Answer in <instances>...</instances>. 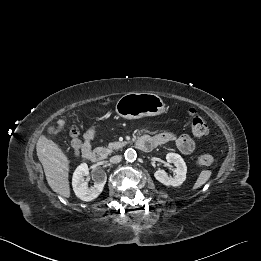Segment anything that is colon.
I'll use <instances>...</instances> for the list:
<instances>
[{"label": "colon", "instance_id": "1", "mask_svg": "<svg viewBox=\"0 0 261 261\" xmlns=\"http://www.w3.org/2000/svg\"><path fill=\"white\" fill-rule=\"evenodd\" d=\"M191 117V130L196 138H202L208 133V124L206 120L197 114L194 110L190 112ZM65 126V122L61 121L55 128L54 133L60 132ZM78 128L76 126L72 127L73 136H77ZM214 158L210 153H200L197 156V163L200 166L206 167L212 164Z\"/></svg>", "mask_w": 261, "mask_h": 261}]
</instances>
